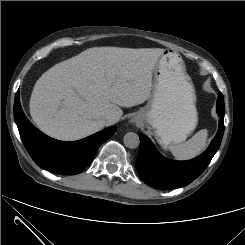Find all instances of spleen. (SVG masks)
I'll list each match as a JSON object with an SVG mask.
<instances>
[{"label":"spleen","instance_id":"obj_1","mask_svg":"<svg viewBox=\"0 0 245 245\" xmlns=\"http://www.w3.org/2000/svg\"><path fill=\"white\" fill-rule=\"evenodd\" d=\"M207 129H201L188 141L170 146L172 155L178 160H188L199 155L206 147Z\"/></svg>","mask_w":245,"mask_h":245}]
</instances>
